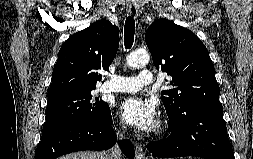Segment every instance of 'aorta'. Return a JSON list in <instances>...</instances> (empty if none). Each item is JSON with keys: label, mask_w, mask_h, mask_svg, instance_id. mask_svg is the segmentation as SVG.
<instances>
[{"label": "aorta", "mask_w": 253, "mask_h": 159, "mask_svg": "<svg viewBox=\"0 0 253 159\" xmlns=\"http://www.w3.org/2000/svg\"><path fill=\"white\" fill-rule=\"evenodd\" d=\"M127 65L131 68H140L148 64L150 55L145 50H136L130 53L127 58Z\"/></svg>", "instance_id": "obj_1"}]
</instances>
